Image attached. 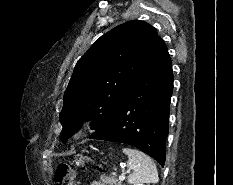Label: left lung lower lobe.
<instances>
[{
    "label": "left lung lower lobe",
    "mask_w": 233,
    "mask_h": 185,
    "mask_svg": "<svg viewBox=\"0 0 233 185\" xmlns=\"http://www.w3.org/2000/svg\"><path fill=\"white\" fill-rule=\"evenodd\" d=\"M173 71L169 53L135 83L114 117L90 138L132 145L165 163Z\"/></svg>",
    "instance_id": "1"
}]
</instances>
